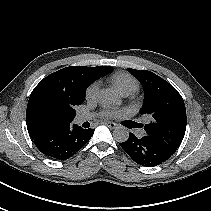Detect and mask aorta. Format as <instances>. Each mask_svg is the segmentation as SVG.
Returning <instances> with one entry per match:
<instances>
[{"label":"aorta","mask_w":211,"mask_h":211,"mask_svg":"<svg viewBox=\"0 0 211 211\" xmlns=\"http://www.w3.org/2000/svg\"><path fill=\"white\" fill-rule=\"evenodd\" d=\"M99 101L103 105L110 106L118 104L120 102V99L115 92L105 89L101 91L99 95ZM113 137L117 142L120 143L125 142L129 138V131L126 127L123 126L117 127L113 131Z\"/></svg>","instance_id":"762f6f07"}]
</instances>
